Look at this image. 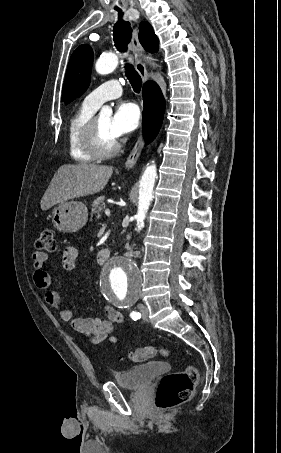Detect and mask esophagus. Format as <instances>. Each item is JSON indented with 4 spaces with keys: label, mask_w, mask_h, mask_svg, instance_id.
<instances>
[{
    "label": "esophagus",
    "mask_w": 281,
    "mask_h": 453,
    "mask_svg": "<svg viewBox=\"0 0 281 453\" xmlns=\"http://www.w3.org/2000/svg\"><path fill=\"white\" fill-rule=\"evenodd\" d=\"M131 50L134 54L135 58V63H136V70L141 76L143 82H146L147 80V72H146V66L145 63L141 60L140 55L142 53V46L139 43L138 40V31L137 28L134 29L133 32V37H132V42H131ZM144 147V140L142 137V134L138 137L137 142L135 143V146L133 147V150L131 151L129 157L126 160L125 163V168L127 170H130L133 168L135 165L137 159L139 158V155Z\"/></svg>",
    "instance_id": "1"
}]
</instances>
